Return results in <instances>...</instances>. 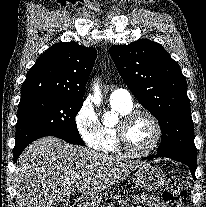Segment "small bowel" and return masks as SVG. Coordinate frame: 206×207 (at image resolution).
Wrapping results in <instances>:
<instances>
[{"label": "small bowel", "instance_id": "obj_1", "mask_svg": "<svg viewBox=\"0 0 206 207\" xmlns=\"http://www.w3.org/2000/svg\"><path fill=\"white\" fill-rule=\"evenodd\" d=\"M137 207H168L155 197L143 196L140 198V204Z\"/></svg>", "mask_w": 206, "mask_h": 207}]
</instances>
